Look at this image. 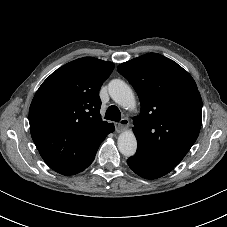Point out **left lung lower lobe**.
<instances>
[{
    "mask_svg": "<svg viewBox=\"0 0 227 227\" xmlns=\"http://www.w3.org/2000/svg\"><path fill=\"white\" fill-rule=\"evenodd\" d=\"M127 163L136 174L146 179H156L162 177L174 168L157 164L139 155L130 157L127 160Z\"/></svg>",
    "mask_w": 227,
    "mask_h": 227,
    "instance_id": "obj_1",
    "label": "left lung lower lobe"
}]
</instances>
